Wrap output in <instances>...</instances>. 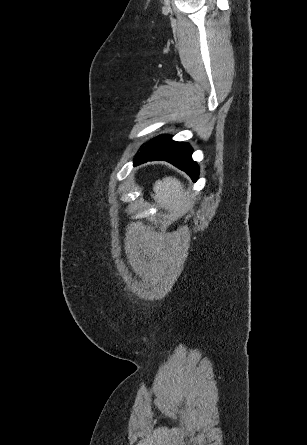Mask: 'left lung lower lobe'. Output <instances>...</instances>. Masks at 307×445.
<instances>
[{"instance_id": "left-lung-lower-lobe-1", "label": "left lung lower lobe", "mask_w": 307, "mask_h": 445, "mask_svg": "<svg viewBox=\"0 0 307 445\" xmlns=\"http://www.w3.org/2000/svg\"><path fill=\"white\" fill-rule=\"evenodd\" d=\"M192 148L187 143L175 142L162 135L150 140L134 160V166L147 161L164 160L185 171L194 182L199 174L197 164L191 158Z\"/></svg>"}]
</instances>
